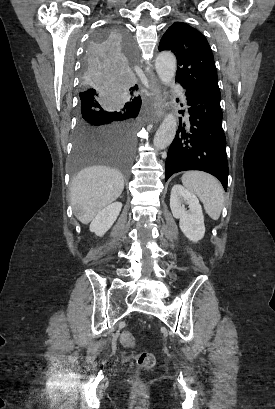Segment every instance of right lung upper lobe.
<instances>
[{"label":"right lung upper lobe","instance_id":"cb5924a9","mask_svg":"<svg viewBox=\"0 0 275 409\" xmlns=\"http://www.w3.org/2000/svg\"><path fill=\"white\" fill-rule=\"evenodd\" d=\"M130 90H132V91L137 90V85H135L134 87L130 88ZM131 94H133V92H132ZM130 103H141V98H140V97H136V98H134V99L132 100V102H130Z\"/></svg>","mask_w":275,"mask_h":409}]
</instances>
